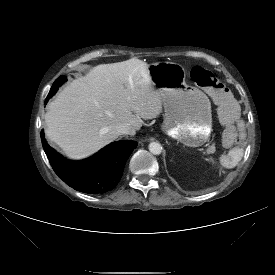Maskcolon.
<instances>
[{"label":"colon","instance_id":"5ec220e1","mask_svg":"<svg viewBox=\"0 0 275 275\" xmlns=\"http://www.w3.org/2000/svg\"><path fill=\"white\" fill-rule=\"evenodd\" d=\"M191 78L209 93L216 105L219 106L228 100V90L211 71L201 66H194L191 70Z\"/></svg>","mask_w":275,"mask_h":275}]
</instances>
